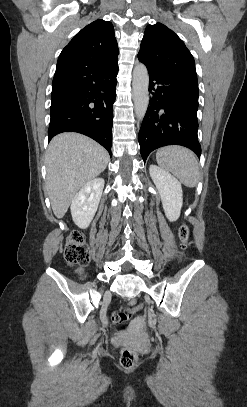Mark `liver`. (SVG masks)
Masks as SVG:
<instances>
[{
  "label": "liver",
  "instance_id": "obj_1",
  "mask_svg": "<svg viewBox=\"0 0 247 407\" xmlns=\"http://www.w3.org/2000/svg\"><path fill=\"white\" fill-rule=\"evenodd\" d=\"M108 162V152L84 135L62 133L51 140L46 152V188L57 218L65 215L78 191L101 174Z\"/></svg>",
  "mask_w": 247,
  "mask_h": 407
}]
</instances>
